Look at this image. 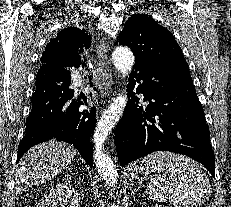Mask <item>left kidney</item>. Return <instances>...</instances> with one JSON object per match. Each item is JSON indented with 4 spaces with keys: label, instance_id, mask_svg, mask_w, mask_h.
I'll return each mask as SVG.
<instances>
[{
    "label": "left kidney",
    "instance_id": "left-kidney-1",
    "mask_svg": "<svg viewBox=\"0 0 231 207\" xmlns=\"http://www.w3.org/2000/svg\"><path fill=\"white\" fill-rule=\"evenodd\" d=\"M152 207H162V205L155 204V205L152 206Z\"/></svg>",
    "mask_w": 231,
    "mask_h": 207
}]
</instances>
